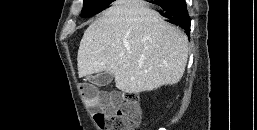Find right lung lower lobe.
I'll return each mask as SVG.
<instances>
[{"mask_svg":"<svg viewBox=\"0 0 257 130\" xmlns=\"http://www.w3.org/2000/svg\"><path fill=\"white\" fill-rule=\"evenodd\" d=\"M152 3L163 9L161 15L167 18L169 23L190 31V18L185 0H162Z\"/></svg>","mask_w":257,"mask_h":130,"instance_id":"98d812e1","label":"right lung lower lobe"}]
</instances>
